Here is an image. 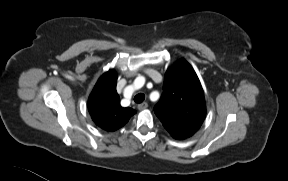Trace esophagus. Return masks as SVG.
Instances as JSON below:
<instances>
[{
    "mask_svg": "<svg viewBox=\"0 0 288 181\" xmlns=\"http://www.w3.org/2000/svg\"><path fill=\"white\" fill-rule=\"evenodd\" d=\"M148 107V104L146 102H143L141 104L138 105V109L139 110H144Z\"/></svg>",
    "mask_w": 288,
    "mask_h": 181,
    "instance_id": "esophagus-1",
    "label": "esophagus"
}]
</instances>
